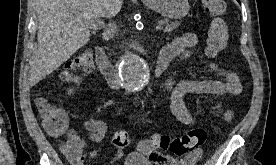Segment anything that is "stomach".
I'll list each match as a JSON object with an SVG mask.
<instances>
[{
    "instance_id": "0dacf381",
    "label": "stomach",
    "mask_w": 276,
    "mask_h": 165,
    "mask_svg": "<svg viewBox=\"0 0 276 165\" xmlns=\"http://www.w3.org/2000/svg\"><path fill=\"white\" fill-rule=\"evenodd\" d=\"M143 2L152 10L171 19L186 16L190 9L188 0H143Z\"/></svg>"
}]
</instances>
